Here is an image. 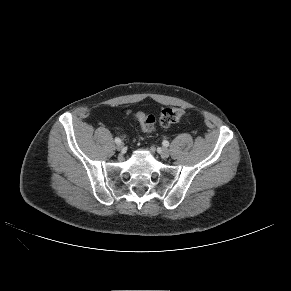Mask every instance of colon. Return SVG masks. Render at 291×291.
Segmentation results:
<instances>
[{
	"instance_id": "colon-1",
	"label": "colon",
	"mask_w": 291,
	"mask_h": 291,
	"mask_svg": "<svg viewBox=\"0 0 291 291\" xmlns=\"http://www.w3.org/2000/svg\"><path fill=\"white\" fill-rule=\"evenodd\" d=\"M184 112L180 108H164L159 115V124L163 127H168L171 124L178 122ZM135 116L140 124L141 130L145 133L152 132L155 129L156 119L153 115L145 114L138 111Z\"/></svg>"
}]
</instances>
